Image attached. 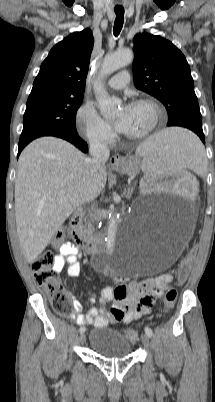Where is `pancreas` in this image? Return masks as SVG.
<instances>
[{"label": "pancreas", "instance_id": "pancreas-1", "mask_svg": "<svg viewBox=\"0 0 215 402\" xmlns=\"http://www.w3.org/2000/svg\"><path fill=\"white\" fill-rule=\"evenodd\" d=\"M77 232L81 237H87L93 232L92 225L88 221L84 220V223L80 222L78 224Z\"/></svg>", "mask_w": 215, "mask_h": 402}]
</instances>
